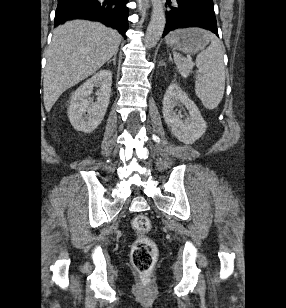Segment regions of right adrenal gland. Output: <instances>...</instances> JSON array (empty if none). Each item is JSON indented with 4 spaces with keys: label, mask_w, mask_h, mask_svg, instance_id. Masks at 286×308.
Returning a JSON list of instances; mask_svg holds the SVG:
<instances>
[{
    "label": "right adrenal gland",
    "mask_w": 286,
    "mask_h": 308,
    "mask_svg": "<svg viewBox=\"0 0 286 308\" xmlns=\"http://www.w3.org/2000/svg\"><path fill=\"white\" fill-rule=\"evenodd\" d=\"M116 57H117V52L114 54L113 59H110L107 64H110L113 61V64L116 65Z\"/></svg>",
    "instance_id": "1"
}]
</instances>
